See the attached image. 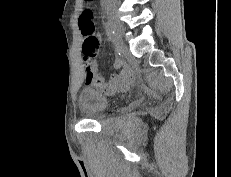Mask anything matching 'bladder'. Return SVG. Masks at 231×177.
Here are the masks:
<instances>
[{
  "label": "bladder",
  "mask_w": 231,
  "mask_h": 177,
  "mask_svg": "<svg viewBox=\"0 0 231 177\" xmlns=\"http://www.w3.org/2000/svg\"><path fill=\"white\" fill-rule=\"evenodd\" d=\"M80 109L89 116H99L110 109L111 101L99 91L83 89L78 97Z\"/></svg>",
  "instance_id": "31cf9c89"
}]
</instances>
